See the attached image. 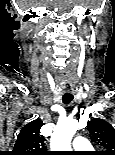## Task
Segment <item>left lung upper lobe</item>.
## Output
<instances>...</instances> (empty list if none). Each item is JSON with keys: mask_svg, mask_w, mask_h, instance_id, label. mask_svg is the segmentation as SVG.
Here are the masks:
<instances>
[{"mask_svg": "<svg viewBox=\"0 0 115 155\" xmlns=\"http://www.w3.org/2000/svg\"><path fill=\"white\" fill-rule=\"evenodd\" d=\"M91 140L100 145L104 151L98 155H115V129L107 121L94 118L88 122Z\"/></svg>", "mask_w": 115, "mask_h": 155, "instance_id": "obj_1", "label": "left lung upper lobe"}]
</instances>
